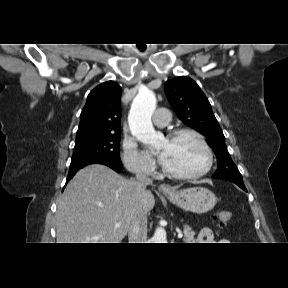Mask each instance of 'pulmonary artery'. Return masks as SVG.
I'll return each instance as SVG.
<instances>
[{
	"label": "pulmonary artery",
	"instance_id": "e3ab8cb5",
	"mask_svg": "<svg viewBox=\"0 0 288 288\" xmlns=\"http://www.w3.org/2000/svg\"><path fill=\"white\" fill-rule=\"evenodd\" d=\"M171 114L165 108H159L156 110L153 122L157 127L166 126L170 121Z\"/></svg>",
	"mask_w": 288,
	"mask_h": 288
}]
</instances>
